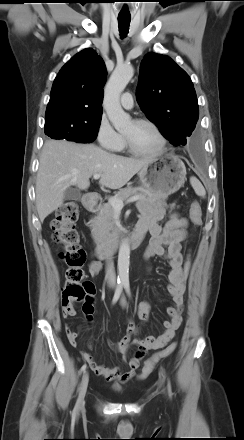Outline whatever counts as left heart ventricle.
Segmentation results:
<instances>
[{"label":"left heart ventricle","instance_id":"b2bd125f","mask_svg":"<svg viewBox=\"0 0 244 440\" xmlns=\"http://www.w3.org/2000/svg\"><path fill=\"white\" fill-rule=\"evenodd\" d=\"M135 147L143 152H154L160 146V139L153 128L131 122L123 131Z\"/></svg>","mask_w":244,"mask_h":440}]
</instances>
